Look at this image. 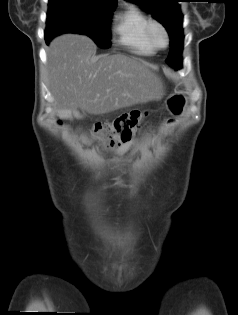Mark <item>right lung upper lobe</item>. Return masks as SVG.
I'll return each instance as SVG.
<instances>
[{
  "instance_id": "1",
  "label": "right lung upper lobe",
  "mask_w": 238,
  "mask_h": 315,
  "mask_svg": "<svg viewBox=\"0 0 238 315\" xmlns=\"http://www.w3.org/2000/svg\"><path fill=\"white\" fill-rule=\"evenodd\" d=\"M104 6H115L117 0H88Z\"/></svg>"
}]
</instances>
